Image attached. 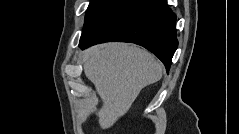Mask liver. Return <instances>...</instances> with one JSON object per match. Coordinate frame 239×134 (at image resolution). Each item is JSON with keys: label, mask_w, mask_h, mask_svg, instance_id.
Returning a JSON list of instances; mask_svg holds the SVG:
<instances>
[{"label": "liver", "mask_w": 239, "mask_h": 134, "mask_svg": "<svg viewBox=\"0 0 239 134\" xmlns=\"http://www.w3.org/2000/svg\"><path fill=\"white\" fill-rule=\"evenodd\" d=\"M84 73L103 101L98 121L107 129L128 112L145 86L162 78L163 65L139 47L106 43L85 51Z\"/></svg>", "instance_id": "liver-1"}]
</instances>
